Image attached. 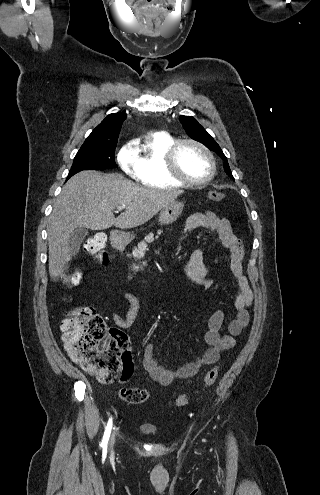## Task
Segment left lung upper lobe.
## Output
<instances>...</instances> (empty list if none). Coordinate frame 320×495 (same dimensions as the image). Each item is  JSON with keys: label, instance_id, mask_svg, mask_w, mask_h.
Here are the masks:
<instances>
[{"label": "left lung upper lobe", "instance_id": "5c2ea615", "mask_svg": "<svg viewBox=\"0 0 320 495\" xmlns=\"http://www.w3.org/2000/svg\"><path fill=\"white\" fill-rule=\"evenodd\" d=\"M180 121L189 137L204 144L207 148L216 152L224 160L225 172L230 178L234 179L227 158L213 137L210 136L192 116H180Z\"/></svg>", "mask_w": 320, "mask_h": 495}]
</instances>
